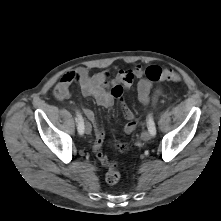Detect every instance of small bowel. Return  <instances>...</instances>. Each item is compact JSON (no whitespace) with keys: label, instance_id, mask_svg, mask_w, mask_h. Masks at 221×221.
Here are the masks:
<instances>
[{"label":"small bowel","instance_id":"small-bowel-1","mask_svg":"<svg viewBox=\"0 0 221 221\" xmlns=\"http://www.w3.org/2000/svg\"><path fill=\"white\" fill-rule=\"evenodd\" d=\"M135 81H137L136 90L138 100L145 105L155 102L161 90L156 89L153 91L151 83L144 78V69L141 65H137L128 71H120L114 76L111 75L109 70H102L95 74H90L86 67H78L64 74L58 85L65 89V98H67L70 95V86L73 83H78L83 96L93 98L100 106L111 107L118 101L115 88L125 84L127 87H130ZM84 114L94 126L95 132L92 141L93 152L97 160L103 166L108 167L111 161L102 150L104 143L103 128L98 123L96 115L91 109L84 108ZM124 116L128 120V123L125 125L123 131L129 134L135 129V116L130 110L129 113L127 115L124 114ZM118 147L122 151L127 150V147L121 143L118 144Z\"/></svg>","mask_w":221,"mask_h":221}]
</instances>
